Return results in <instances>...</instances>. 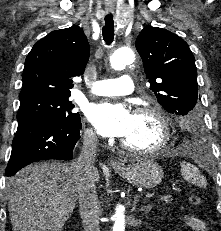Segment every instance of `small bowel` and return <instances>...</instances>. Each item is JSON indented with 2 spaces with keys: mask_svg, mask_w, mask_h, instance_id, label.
Returning a JSON list of instances; mask_svg holds the SVG:
<instances>
[{
  "mask_svg": "<svg viewBox=\"0 0 221 231\" xmlns=\"http://www.w3.org/2000/svg\"><path fill=\"white\" fill-rule=\"evenodd\" d=\"M185 223L193 231H207L206 223L203 220L195 217L194 215H185Z\"/></svg>",
  "mask_w": 221,
  "mask_h": 231,
  "instance_id": "small-bowel-1",
  "label": "small bowel"
}]
</instances>
